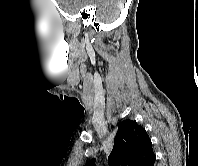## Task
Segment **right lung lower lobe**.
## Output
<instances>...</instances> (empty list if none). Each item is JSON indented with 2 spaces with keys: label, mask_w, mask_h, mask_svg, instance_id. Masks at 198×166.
<instances>
[{
  "label": "right lung lower lobe",
  "mask_w": 198,
  "mask_h": 166,
  "mask_svg": "<svg viewBox=\"0 0 198 166\" xmlns=\"http://www.w3.org/2000/svg\"><path fill=\"white\" fill-rule=\"evenodd\" d=\"M155 155H153L149 160L148 162L145 164V166H154V162H155Z\"/></svg>",
  "instance_id": "1"
}]
</instances>
